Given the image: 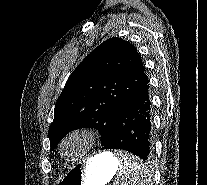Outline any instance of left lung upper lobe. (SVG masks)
<instances>
[{"label":"left lung upper lobe","mask_w":207,"mask_h":185,"mask_svg":"<svg viewBox=\"0 0 207 185\" xmlns=\"http://www.w3.org/2000/svg\"><path fill=\"white\" fill-rule=\"evenodd\" d=\"M148 81L133 45L117 37L104 41L69 76L55 104L51 149L79 128L97 129L103 146L120 109Z\"/></svg>","instance_id":"obj_1"}]
</instances>
